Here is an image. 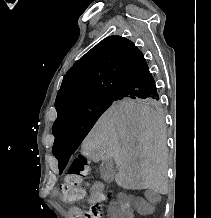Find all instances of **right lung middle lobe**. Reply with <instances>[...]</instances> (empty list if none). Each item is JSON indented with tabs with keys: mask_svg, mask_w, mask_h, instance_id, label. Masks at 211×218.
Masks as SVG:
<instances>
[{
	"mask_svg": "<svg viewBox=\"0 0 211 218\" xmlns=\"http://www.w3.org/2000/svg\"><path fill=\"white\" fill-rule=\"evenodd\" d=\"M109 107L160 111L162 104L159 97H120L117 94L88 99L57 116L53 125L54 143L78 147Z\"/></svg>",
	"mask_w": 211,
	"mask_h": 218,
	"instance_id": "1",
	"label": "right lung middle lobe"
}]
</instances>
